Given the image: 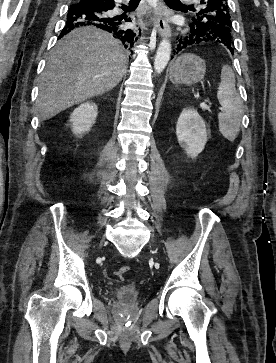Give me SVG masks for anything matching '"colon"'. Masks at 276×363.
Here are the masks:
<instances>
[{"mask_svg": "<svg viewBox=\"0 0 276 363\" xmlns=\"http://www.w3.org/2000/svg\"><path fill=\"white\" fill-rule=\"evenodd\" d=\"M129 267L128 266H124L122 268H120L119 270H117V275L119 276H123L124 274H126L129 271Z\"/></svg>", "mask_w": 276, "mask_h": 363, "instance_id": "1", "label": "colon"}]
</instances>
